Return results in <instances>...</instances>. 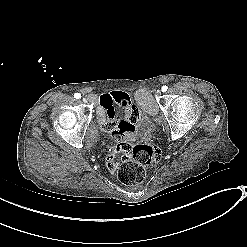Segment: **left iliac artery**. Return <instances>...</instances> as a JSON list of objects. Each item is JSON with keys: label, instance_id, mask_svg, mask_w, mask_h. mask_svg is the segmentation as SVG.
Masks as SVG:
<instances>
[{"label": "left iliac artery", "instance_id": "left-iliac-artery-1", "mask_svg": "<svg viewBox=\"0 0 247 247\" xmlns=\"http://www.w3.org/2000/svg\"><path fill=\"white\" fill-rule=\"evenodd\" d=\"M161 90H162L163 92H165V91L168 90V87H167V86H163Z\"/></svg>", "mask_w": 247, "mask_h": 247}]
</instances>
